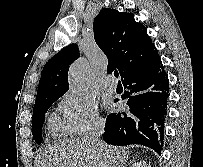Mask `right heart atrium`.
Masks as SVG:
<instances>
[{"instance_id":"obj_1","label":"right heart atrium","mask_w":203,"mask_h":167,"mask_svg":"<svg viewBox=\"0 0 203 167\" xmlns=\"http://www.w3.org/2000/svg\"><path fill=\"white\" fill-rule=\"evenodd\" d=\"M63 125L71 135L102 128L104 120L94 99L74 92L65 93L59 101Z\"/></svg>"}]
</instances>
